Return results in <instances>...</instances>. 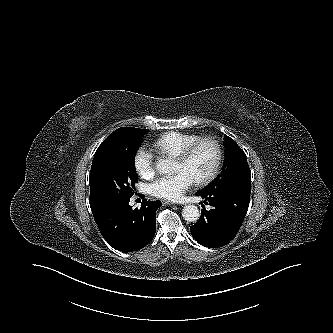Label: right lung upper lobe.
Here are the masks:
<instances>
[{"mask_svg": "<svg viewBox=\"0 0 333 333\" xmlns=\"http://www.w3.org/2000/svg\"><path fill=\"white\" fill-rule=\"evenodd\" d=\"M133 129H137V128H132V127H121V128H119V129L115 130L113 133H111V134H110V135H109V136L103 141V143H102L101 145H104V144L110 142L111 140H114V139L118 138L119 136H121V135H123V134H125V133H127V132H129V131H131V130H133ZM101 145H100V146H101ZM89 203H90V207H91L92 212L95 211V210H97V209H99L100 207H102V206L98 205V204L93 200L91 194H90V200H89Z\"/></svg>", "mask_w": 333, "mask_h": 333, "instance_id": "cb5924a9", "label": "right lung upper lobe"}]
</instances>
